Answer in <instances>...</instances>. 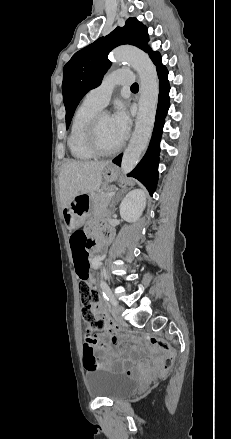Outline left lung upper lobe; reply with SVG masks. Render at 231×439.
<instances>
[{
  "mask_svg": "<svg viewBox=\"0 0 231 439\" xmlns=\"http://www.w3.org/2000/svg\"><path fill=\"white\" fill-rule=\"evenodd\" d=\"M146 27L136 18H129L124 27H117L106 37L76 52L63 69L62 92L66 108V128L69 127L77 105L91 89L100 85L101 80L111 65L108 53L122 44L134 45L150 56L153 52L148 46Z\"/></svg>",
  "mask_w": 231,
  "mask_h": 439,
  "instance_id": "obj_1",
  "label": "left lung upper lobe"
}]
</instances>
